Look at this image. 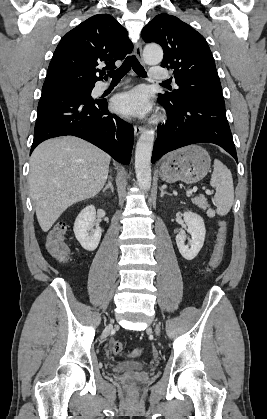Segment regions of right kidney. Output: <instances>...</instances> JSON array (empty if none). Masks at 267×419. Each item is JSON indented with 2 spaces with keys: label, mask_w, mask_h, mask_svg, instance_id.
Wrapping results in <instances>:
<instances>
[{
  "label": "right kidney",
  "mask_w": 267,
  "mask_h": 419,
  "mask_svg": "<svg viewBox=\"0 0 267 419\" xmlns=\"http://www.w3.org/2000/svg\"><path fill=\"white\" fill-rule=\"evenodd\" d=\"M96 210L93 205L85 207L77 216L74 223V234L81 246L87 251H93L97 248L102 229L95 226ZM91 231V233H89Z\"/></svg>",
  "instance_id": "ca27d5eb"
}]
</instances>
